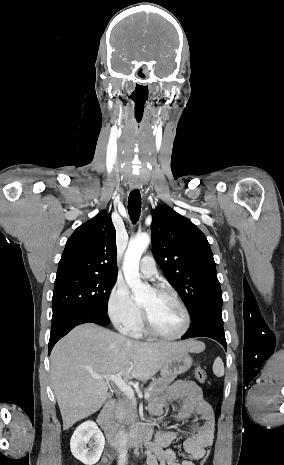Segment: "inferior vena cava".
<instances>
[{
    "mask_svg": "<svg viewBox=\"0 0 284 465\" xmlns=\"http://www.w3.org/2000/svg\"><path fill=\"white\" fill-rule=\"evenodd\" d=\"M116 417H117V421H118L117 427H120L119 435L121 437L120 447H119L118 465H126L127 455H128V449H127V437H128V435H127L124 427H122V425L124 423V419H125V409H124V405H123V403H121V401H118V403H117Z\"/></svg>",
    "mask_w": 284,
    "mask_h": 465,
    "instance_id": "1",
    "label": "inferior vena cava"
}]
</instances>
